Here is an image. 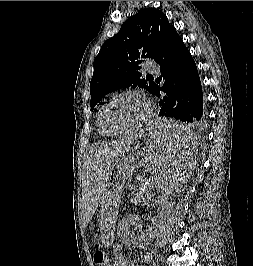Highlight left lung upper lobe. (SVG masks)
Segmentation results:
<instances>
[{"mask_svg": "<svg viewBox=\"0 0 253 266\" xmlns=\"http://www.w3.org/2000/svg\"><path fill=\"white\" fill-rule=\"evenodd\" d=\"M174 29L166 15L156 8L142 9L123 23L94 60L91 109L105 95L120 88L137 85L152 92L155 83L140 78V64L148 58L159 59Z\"/></svg>", "mask_w": 253, "mask_h": 266, "instance_id": "5c2ea615", "label": "left lung upper lobe"}]
</instances>
